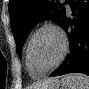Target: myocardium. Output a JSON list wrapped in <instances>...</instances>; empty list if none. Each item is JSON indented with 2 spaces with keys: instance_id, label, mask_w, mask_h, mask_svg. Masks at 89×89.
Returning a JSON list of instances; mask_svg holds the SVG:
<instances>
[{
  "instance_id": "myocardium-1",
  "label": "myocardium",
  "mask_w": 89,
  "mask_h": 89,
  "mask_svg": "<svg viewBox=\"0 0 89 89\" xmlns=\"http://www.w3.org/2000/svg\"><path fill=\"white\" fill-rule=\"evenodd\" d=\"M45 28H50V29L54 30L60 36L61 41H62V50H61V54H60L59 58L52 66H50L47 69L37 71L33 67V64L31 61V56H30V50H31L32 42H33L34 38L36 37V35ZM68 48H69V42H68V38H67V35L65 34V32L58 25H56L54 23H51V22L43 23L38 28H36V30L32 33V35L29 38L27 48H26L27 65L30 68V70H32L34 73H36L40 76L45 75V74L51 72L52 70H54L55 68H57L64 61V59L67 55V52H68Z\"/></svg>"
}]
</instances>
